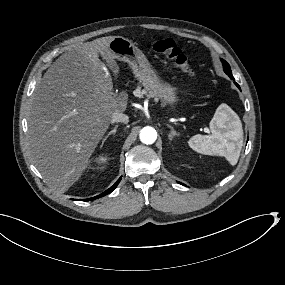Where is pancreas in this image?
<instances>
[{
  "instance_id": "1",
  "label": "pancreas",
  "mask_w": 285,
  "mask_h": 285,
  "mask_svg": "<svg viewBox=\"0 0 285 285\" xmlns=\"http://www.w3.org/2000/svg\"><path fill=\"white\" fill-rule=\"evenodd\" d=\"M134 95L137 96V97H140V98H142L143 95H146L147 98H157V99H159L156 90H147V89H145V90L141 91L140 87H138L134 91Z\"/></svg>"
}]
</instances>
